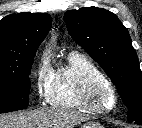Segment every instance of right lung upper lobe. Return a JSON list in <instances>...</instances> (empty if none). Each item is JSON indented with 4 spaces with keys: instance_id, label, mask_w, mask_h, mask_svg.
Segmentation results:
<instances>
[{
    "instance_id": "1",
    "label": "right lung upper lobe",
    "mask_w": 142,
    "mask_h": 128,
    "mask_svg": "<svg viewBox=\"0 0 142 128\" xmlns=\"http://www.w3.org/2000/svg\"><path fill=\"white\" fill-rule=\"evenodd\" d=\"M50 27L49 14L24 12L4 17L0 21V74L34 59Z\"/></svg>"
}]
</instances>
